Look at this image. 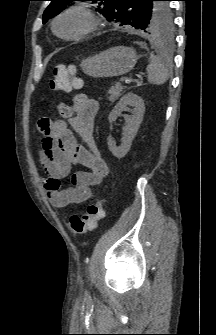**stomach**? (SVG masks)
I'll list each match as a JSON object with an SVG mask.
<instances>
[{"mask_svg":"<svg viewBox=\"0 0 216 335\" xmlns=\"http://www.w3.org/2000/svg\"><path fill=\"white\" fill-rule=\"evenodd\" d=\"M138 55L134 48L116 46L84 59L80 67L91 77H116L129 72L135 66Z\"/></svg>","mask_w":216,"mask_h":335,"instance_id":"0dacf381","label":"stomach"}]
</instances>
